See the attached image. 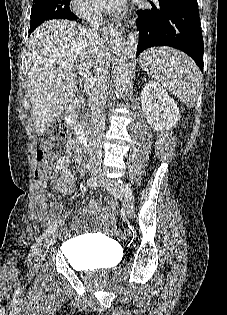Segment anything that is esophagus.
Listing matches in <instances>:
<instances>
[{"mask_svg": "<svg viewBox=\"0 0 227 315\" xmlns=\"http://www.w3.org/2000/svg\"><path fill=\"white\" fill-rule=\"evenodd\" d=\"M104 31H106V34L109 32V31H113V32H115L116 33V37H118V38H122V36H121V32H120V30H119V28H118V26H116V27H113V25H107V27H105V30Z\"/></svg>", "mask_w": 227, "mask_h": 315, "instance_id": "obj_1", "label": "esophagus"}]
</instances>
